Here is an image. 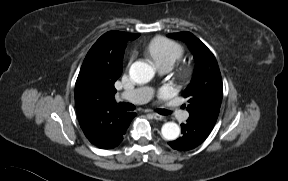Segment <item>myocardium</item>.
I'll return each instance as SVG.
<instances>
[{
	"label": "myocardium",
	"instance_id": "myocardium-1",
	"mask_svg": "<svg viewBox=\"0 0 288 181\" xmlns=\"http://www.w3.org/2000/svg\"><path fill=\"white\" fill-rule=\"evenodd\" d=\"M192 73H193L192 67L185 66L181 69L180 76L184 79H187V78L191 77Z\"/></svg>",
	"mask_w": 288,
	"mask_h": 181
}]
</instances>
